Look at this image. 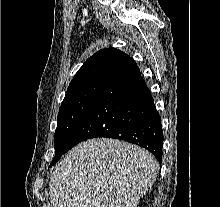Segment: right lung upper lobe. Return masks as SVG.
I'll use <instances>...</instances> for the list:
<instances>
[{
    "label": "right lung upper lobe",
    "instance_id": "1",
    "mask_svg": "<svg viewBox=\"0 0 220 207\" xmlns=\"http://www.w3.org/2000/svg\"><path fill=\"white\" fill-rule=\"evenodd\" d=\"M133 64L135 61L120 50L112 47L101 49L81 66L70 82L67 92L94 81L106 80Z\"/></svg>",
    "mask_w": 220,
    "mask_h": 207
}]
</instances>
